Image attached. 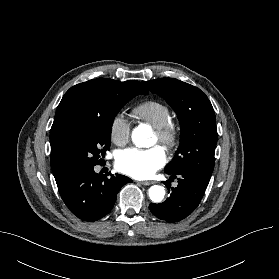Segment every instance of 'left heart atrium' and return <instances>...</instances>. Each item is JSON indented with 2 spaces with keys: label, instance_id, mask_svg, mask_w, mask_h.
I'll list each match as a JSON object with an SVG mask.
<instances>
[{
  "label": "left heart atrium",
  "instance_id": "1",
  "mask_svg": "<svg viewBox=\"0 0 279 279\" xmlns=\"http://www.w3.org/2000/svg\"><path fill=\"white\" fill-rule=\"evenodd\" d=\"M166 162V154L162 147L149 149L127 148L116 155L117 169L131 177L145 179L151 177Z\"/></svg>",
  "mask_w": 279,
  "mask_h": 279
}]
</instances>
